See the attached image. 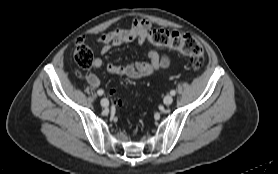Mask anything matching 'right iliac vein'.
Masks as SVG:
<instances>
[{"label": "right iliac vein", "instance_id": "right-iliac-vein-1", "mask_svg": "<svg viewBox=\"0 0 278 174\" xmlns=\"http://www.w3.org/2000/svg\"><path fill=\"white\" fill-rule=\"evenodd\" d=\"M101 106L107 108L109 106V101L106 98L101 99Z\"/></svg>", "mask_w": 278, "mask_h": 174}]
</instances>
